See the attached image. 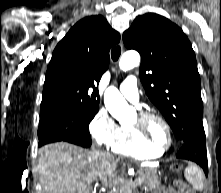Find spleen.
<instances>
[{"instance_id":"obj_1","label":"spleen","mask_w":221,"mask_h":193,"mask_svg":"<svg viewBox=\"0 0 221 193\" xmlns=\"http://www.w3.org/2000/svg\"><path fill=\"white\" fill-rule=\"evenodd\" d=\"M185 178L195 190H203V172L195 164H189L185 170Z\"/></svg>"}]
</instances>
